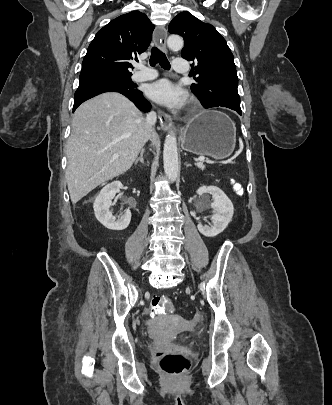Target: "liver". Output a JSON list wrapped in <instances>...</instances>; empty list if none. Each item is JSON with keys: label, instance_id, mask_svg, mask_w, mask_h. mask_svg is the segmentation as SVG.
Listing matches in <instances>:
<instances>
[{"label": "liver", "instance_id": "1", "mask_svg": "<svg viewBox=\"0 0 332 405\" xmlns=\"http://www.w3.org/2000/svg\"><path fill=\"white\" fill-rule=\"evenodd\" d=\"M151 138L159 143L157 134L149 133L142 113L121 94L103 93L81 104L66 146L72 203L129 170Z\"/></svg>", "mask_w": 332, "mask_h": 405}]
</instances>
